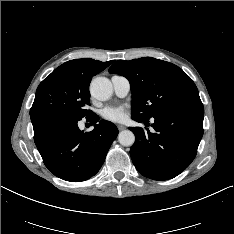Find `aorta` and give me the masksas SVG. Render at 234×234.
Instances as JSON below:
<instances>
[{
  "instance_id": "1",
  "label": "aorta",
  "mask_w": 234,
  "mask_h": 234,
  "mask_svg": "<svg viewBox=\"0 0 234 234\" xmlns=\"http://www.w3.org/2000/svg\"><path fill=\"white\" fill-rule=\"evenodd\" d=\"M112 92V83L105 77H97L90 84V93L97 100H108L112 96ZM118 141L123 146H131L135 141V136L132 131L124 130L119 133Z\"/></svg>"
}]
</instances>
